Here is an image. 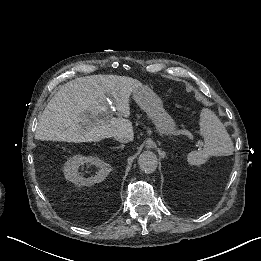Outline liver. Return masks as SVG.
Wrapping results in <instances>:
<instances>
[{
    "label": "liver",
    "instance_id": "1",
    "mask_svg": "<svg viewBox=\"0 0 261 261\" xmlns=\"http://www.w3.org/2000/svg\"><path fill=\"white\" fill-rule=\"evenodd\" d=\"M141 82L130 77L95 75L78 78L63 85L39 118L35 138L41 141L83 143L125 136L134 141L130 120V96L142 88ZM114 106L118 118L105 121ZM87 120L95 125L86 126Z\"/></svg>",
    "mask_w": 261,
    "mask_h": 261
}]
</instances>
